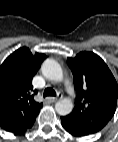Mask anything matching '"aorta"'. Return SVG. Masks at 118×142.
I'll return each mask as SVG.
<instances>
[{
    "label": "aorta",
    "mask_w": 118,
    "mask_h": 142,
    "mask_svg": "<svg viewBox=\"0 0 118 142\" xmlns=\"http://www.w3.org/2000/svg\"><path fill=\"white\" fill-rule=\"evenodd\" d=\"M41 70L43 75L49 80L56 82L63 80L62 68L60 64L53 59L45 60L41 66ZM55 109L59 115H68L73 110V102L68 98L61 99L55 104Z\"/></svg>",
    "instance_id": "762f6f07"
}]
</instances>
